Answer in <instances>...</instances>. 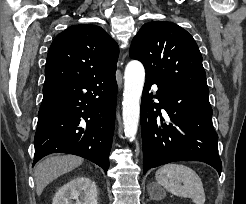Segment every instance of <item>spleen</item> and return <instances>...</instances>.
Segmentation results:
<instances>
[{
    "instance_id": "1",
    "label": "spleen",
    "mask_w": 246,
    "mask_h": 204,
    "mask_svg": "<svg viewBox=\"0 0 246 204\" xmlns=\"http://www.w3.org/2000/svg\"><path fill=\"white\" fill-rule=\"evenodd\" d=\"M155 179L168 192L190 198L195 204L205 203V192L198 174L188 166L169 163L160 167Z\"/></svg>"
}]
</instances>
